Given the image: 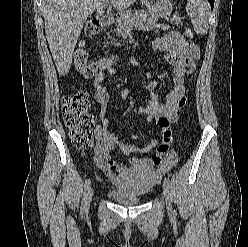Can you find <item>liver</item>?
I'll use <instances>...</instances> for the list:
<instances>
[{
	"instance_id": "6515ba94",
	"label": "liver",
	"mask_w": 248,
	"mask_h": 247,
	"mask_svg": "<svg viewBox=\"0 0 248 247\" xmlns=\"http://www.w3.org/2000/svg\"><path fill=\"white\" fill-rule=\"evenodd\" d=\"M111 2L119 11L137 0H43V17L48 45L59 75L71 68L74 48L87 17Z\"/></svg>"
}]
</instances>
